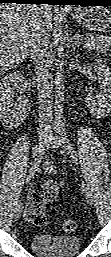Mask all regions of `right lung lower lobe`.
<instances>
[{
  "label": "right lung lower lobe",
  "instance_id": "obj_1",
  "mask_svg": "<svg viewBox=\"0 0 111 257\" xmlns=\"http://www.w3.org/2000/svg\"><path fill=\"white\" fill-rule=\"evenodd\" d=\"M53 0H0V3H18V4H53Z\"/></svg>",
  "mask_w": 111,
  "mask_h": 257
}]
</instances>
